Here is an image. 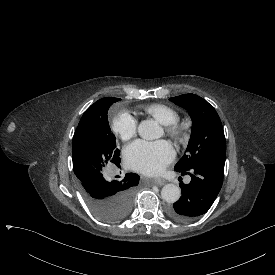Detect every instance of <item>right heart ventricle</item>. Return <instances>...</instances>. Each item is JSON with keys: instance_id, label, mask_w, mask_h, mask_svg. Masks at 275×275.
Here are the masks:
<instances>
[{"instance_id": "obj_1", "label": "right heart ventricle", "mask_w": 275, "mask_h": 275, "mask_svg": "<svg viewBox=\"0 0 275 275\" xmlns=\"http://www.w3.org/2000/svg\"><path fill=\"white\" fill-rule=\"evenodd\" d=\"M145 111L164 126H170L178 121L177 112L164 104H152L145 107Z\"/></svg>"}]
</instances>
